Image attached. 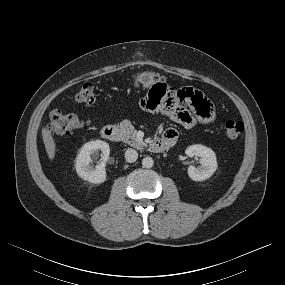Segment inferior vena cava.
I'll list each match as a JSON object with an SVG mask.
<instances>
[{
    "label": "inferior vena cava",
    "instance_id": "602c4592",
    "mask_svg": "<svg viewBox=\"0 0 285 285\" xmlns=\"http://www.w3.org/2000/svg\"><path fill=\"white\" fill-rule=\"evenodd\" d=\"M138 158V153L136 150L129 148L125 152V159L129 163H133L137 160Z\"/></svg>",
    "mask_w": 285,
    "mask_h": 285
}]
</instances>
